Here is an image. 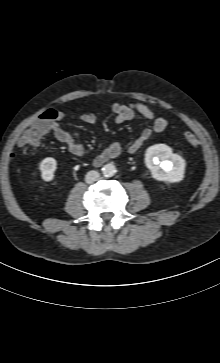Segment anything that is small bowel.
<instances>
[{
    "instance_id": "c3829d8e",
    "label": "small bowel",
    "mask_w": 220,
    "mask_h": 363,
    "mask_svg": "<svg viewBox=\"0 0 220 363\" xmlns=\"http://www.w3.org/2000/svg\"><path fill=\"white\" fill-rule=\"evenodd\" d=\"M111 112L115 115V120L118 123L129 121L135 116L139 115L146 122L151 124L150 128L144 129L139 134V136L129 145L128 152L131 154L137 153L154 133L163 132L168 125L166 119H164L163 117H158L151 108L141 103H116L112 105ZM63 116V112H59L57 120L62 119ZM81 120L87 124H95L97 122V117L92 113H84L81 116ZM51 130L56 139L64 144L71 154L75 156H82L84 154V146L79 141L77 132L62 128L58 121L53 122ZM37 144L38 142L36 144H33L32 146ZM19 145H28L24 136L20 139ZM121 152L122 146L119 143H110L97 157L96 161L98 163L105 162L109 159L118 157Z\"/></svg>"
}]
</instances>
